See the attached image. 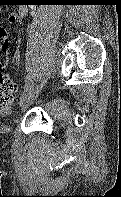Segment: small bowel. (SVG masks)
Listing matches in <instances>:
<instances>
[{"label":"small bowel","mask_w":121,"mask_h":197,"mask_svg":"<svg viewBox=\"0 0 121 197\" xmlns=\"http://www.w3.org/2000/svg\"><path fill=\"white\" fill-rule=\"evenodd\" d=\"M28 12V9L25 5H20L19 8L17 9V11L15 12H12L9 14L8 16V20L11 22V23H16L18 22L19 20H21L23 17L26 16ZM0 37L3 39L2 41V44L0 46V51L2 52H5L6 49H7V37H6V34L5 32L0 29Z\"/></svg>","instance_id":"obj_1"}]
</instances>
